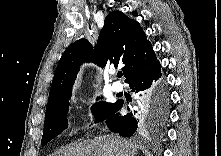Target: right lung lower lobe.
<instances>
[{
    "label": "right lung lower lobe",
    "mask_w": 221,
    "mask_h": 156,
    "mask_svg": "<svg viewBox=\"0 0 221 156\" xmlns=\"http://www.w3.org/2000/svg\"><path fill=\"white\" fill-rule=\"evenodd\" d=\"M132 92L141 96L145 106L144 115L132 111H122L124 102L119 101L114 112L105 120L109 129L124 137H131L140 126L160 127L167 118L169 99L166 83L162 77L160 62L156 60L126 81Z\"/></svg>",
    "instance_id": "obj_1"
}]
</instances>
